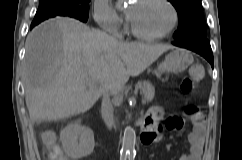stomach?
I'll return each mask as SVG.
<instances>
[{"label":"stomach","instance_id":"0dacf381","mask_svg":"<svg viewBox=\"0 0 242 160\" xmlns=\"http://www.w3.org/2000/svg\"><path fill=\"white\" fill-rule=\"evenodd\" d=\"M193 56L186 49H174L158 66L155 75L160 77L163 73H180L192 64Z\"/></svg>","mask_w":242,"mask_h":160}]
</instances>
